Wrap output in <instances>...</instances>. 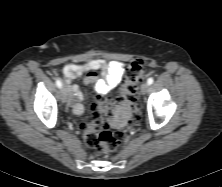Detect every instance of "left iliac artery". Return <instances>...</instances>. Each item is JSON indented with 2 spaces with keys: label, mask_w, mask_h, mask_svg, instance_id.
<instances>
[{
  "label": "left iliac artery",
  "mask_w": 222,
  "mask_h": 187,
  "mask_svg": "<svg viewBox=\"0 0 222 187\" xmlns=\"http://www.w3.org/2000/svg\"><path fill=\"white\" fill-rule=\"evenodd\" d=\"M153 82H154V79H153L152 77L147 80V83H148L149 85H151Z\"/></svg>",
  "instance_id": "left-iliac-artery-1"
}]
</instances>
